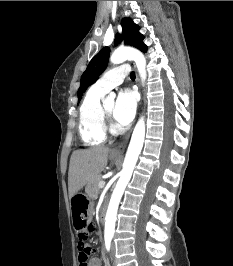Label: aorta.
Here are the masks:
<instances>
[{"mask_svg": "<svg viewBox=\"0 0 233 266\" xmlns=\"http://www.w3.org/2000/svg\"><path fill=\"white\" fill-rule=\"evenodd\" d=\"M126 60H133L136 63L140 78L144 83L146 80V59L142 54V52H140L135 48H130V47L118 48L112 53L110 57V61L113 64H120ZM109 98L111 100H114L115 94L110 93ZM144 138H145V121L144 117L142 116L140 117L134 128L131 141L123 163V169L121 171L120 178L116 184V187L112 193L109 202V206L105 217L104 235L106 239L113 238L115 232V223L117 219L118 206L121 197L124 193V190L128 182L130 181L138 156L142 150Z\"/></svg>", "mask_w": 233, "mask_h": 266, "instance_id": "aorta-1", "label": "aorta"}]
</instances>
